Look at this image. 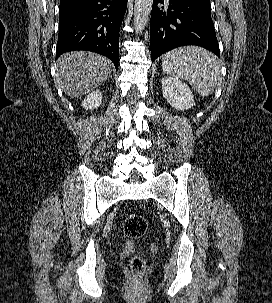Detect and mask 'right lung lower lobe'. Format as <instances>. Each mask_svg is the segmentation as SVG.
<instances>
[{
  "instance_id": "obj_1",
  "label": "right lung lower lobe",
  "mask_w": 272,
  "mask_h": 303,
  "mask_svg": "<svg viewBox=\"0 0 272 303\" xmlns=\"http://www.w3.org/2000/svg\"><path fill=\"white\" fill-rule=\"evenodd\" d=\"M126 7L127 0H86L59 10L56 58L87 50L107 56L118 68L119 29Z\"/></svg>"
}]
</instances>
